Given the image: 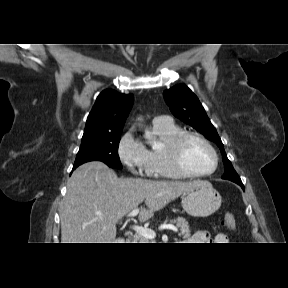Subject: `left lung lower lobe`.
I'll use <instances>...</instances> for the list:
<instances>
[{"instance_id":"obj_1","label":"left lung lower lobe","mask_w":288,"mask_h":288,"mask_svg":"<svg viewBox=\"0 0 288 288\" xmlns=\"http://www.w3.org/2000/svg\"><path fill=\"white\" fill-rule=\"evenodd\" d=\"M238 185H240L242 187V189L244 190V186L242 183H237Z\"/></svg>"}]
</instances>
